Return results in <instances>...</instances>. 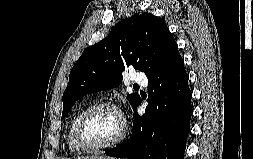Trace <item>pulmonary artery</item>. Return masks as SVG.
Listing matches in <instances>:
<instances>
[{
	"instance_id": "1",
	"label": "pulmonary artery",
	"mask_w": 253,
	"mask_h": 159,
	"mask_svg": "<svg viewBox=\"0 0 253 159\" xmlns=\"http://www.w3.org/2000/svg\"><path fill=\"white\" fill-rule=\"evenodd\" d=\"M132 81L137 85L147 86L148 80L145 73L137 71L132 74Z\"/></svg>"
}]
</instances>
